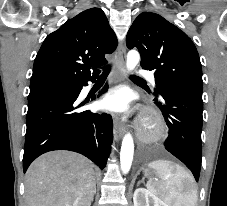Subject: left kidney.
<instances>
[{
  "mask_svg": "<svg viewBox=\"0 0 227 206\" xmlns=\"http://www.w3.org/2000/svg\"><path fill=\"white\" fill-rule=\"evenodd\" d=\"M134 206H168L158 196L145 188H137L133 195Z\"/></svg>",
  "mask_w": 227,
  "mask_h": 206,
  "instance_id": "obj_1",
  "label": "left kidney"
}]
</instances>
